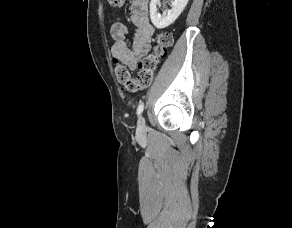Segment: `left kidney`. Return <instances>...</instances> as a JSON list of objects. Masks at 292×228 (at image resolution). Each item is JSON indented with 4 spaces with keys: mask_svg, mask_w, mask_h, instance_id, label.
I'll return each mask as SVG.
<instances>
[{
    "mask_svg": "<svg viewBox=\"0 0 292 228\" xmlns=\"http://www.w3.org/2000/svg\"><path fill=\"white\" fill-rule=\"evenodd\" d=\"M189 0H174L172 9L165 12L163 15L158 13L157 6L160 0H151L150 2V18L153 25L158 29H163L172 24L182 13Z\"/></svg>",
    "mask_w": 292,
    "mask_h": 228,
    "instance_id": "5707ae66",
    "label": "left kidney"
}]
</instances>
